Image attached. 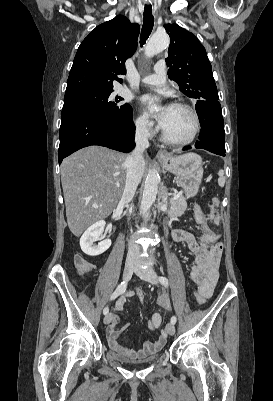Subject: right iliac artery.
I'll list each match as a JSON object with an SVG mask.
<instances>
[{
	"label": "right iliac artery",
	"mask_w": 273,
	"mask_h": 401,
	"mask_svg": "<svg viewBox=\"0 0 273 401\" xmlns=\"http://www.w3.org/2000/svg\"><path fill=\"white\" fill-rule=\"evenodd\" d=\"M126 287H127V282L126 281L121 282V284L118 285L114 293L111 295L110 300H113L117 298L119 295L123 294L126 290ZM108 312H109L108 307H105L103 310V314L107 315Z\"/></svg>",
	"instance_id": "1"
}]
</instances>
